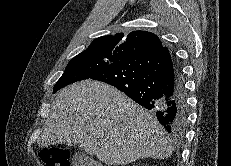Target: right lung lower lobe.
<instances>
[{
	"label": "right lung lower lobe",
	"mask_w": 231,
	"mask_h": 166,
	"mask_svg": "<svg viewBox=\"0 0 231 166\" xmlns=\"http://www.w3.org/2000/svg\"><path fill=\"white\" fill-rule=\"evenodd\" d=\"M90 79L116 87L151 110L171 135L184 134L187 103L183 75L167 47L115 62Z\"/></svg>",
	"instance_id": "98d812e1"
}]
</instances>
